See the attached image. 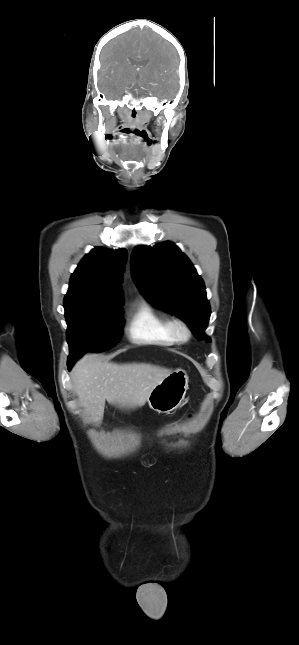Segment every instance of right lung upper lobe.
<instances>
[{
  "instance_id": "right-lung-upper-lobe-1",
  "label": "right lung upper lobe",
  "mask_w": 299,
  "mask_h": 645,
  "mask_svg": "<svg viewBox=\"0 0 299 645\" xmlns=\"http://www.w3.org/2000/svg\"><path fill=\"white\" fill-rule=\"evenodd\" d=\"M126 257L125 249H93L72 274L64 305H121L120 283Z\"/></svg>"
}]
</instances>
